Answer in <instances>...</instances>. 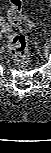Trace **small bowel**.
Instances as JSON below:
<instances>
[{
  "instance_id": "c3829d8e",
  "label": "small bowel",
  "mask_w": 51,
  "mask_h": 153,
  "mask_svg": "<svg viewBox=\"0 0 51 153\" xmlns=\"http://www.w3.org/2000/svg\"><path fill=\"white\" fill-rule=\"evenodd\" d=\"M2 25H3V27L7 26V24L4 21H2Z\"/></svg>"
}]
</instances>
